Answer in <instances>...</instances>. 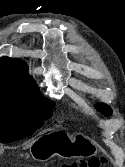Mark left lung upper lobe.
Wrapping results in <instances>:
<instances>
[{
  "label": "left lung upper lobe",
  "mask_w": 125,
  "mask_h": 167,
  "mask_svg": "<svg viewBox=\"0 0 125 167\" xmlns=\"http://www.w3.org/2000/svg\"><path fill=\"white\" fill-rule=\"evenodd\" d=\"M99 110H101L105 115H111V109L106 105H98Z\"/></svg>",
  "instance_id": "5c2ea615"
}]
</instances>
